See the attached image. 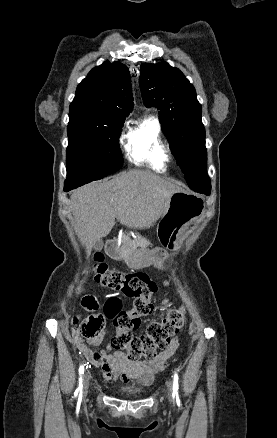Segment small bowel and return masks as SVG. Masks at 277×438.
<instances>
[{"instance_id":"c3829d8e","label":"small bowel","mask_w":277,"mask_h":438,"mask_svg":"<svg viewBox=\"0 0 277 438\" xmlns=\"http://www.w3.org/2000/svg\"><path fill=\"white\" fill-rule=\"evenodd\" d=\"M163 285L169 286L170 282L164 281ZM167 305L168 301L166 299H162L160 305L158 306V310L164 311L167 308ZM103 337L104 334L102 333L88 341H82V344L97 345L102 341ZM72 338L81 349V337L77 331L72 333ZM177 346L178 340L173 339L169 348L161 353L158 357L150 360H140L135 362L128 360L121 352H112L110 345H107L106 349L96 348L95 350H92V353H95L96 355L91 354L89 357L88 353L91 352L89 348L83 352L88 357V360L92 363L93 367L102 368L100 374L106 380L115 381L117 379H121L124 382H134L140 386H149L152 384L155 375L166 368L168 361L175 352Z\"/></svg>"}]
</instances>
